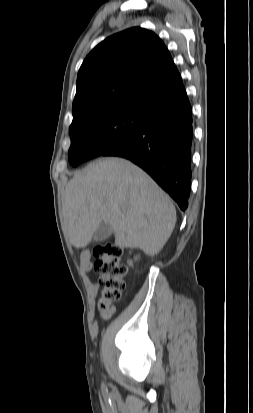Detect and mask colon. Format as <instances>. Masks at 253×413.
<instances>
[{
  "label": "colon",
  "instance_id": "5ec220e1",
  "mask_svg": "<svg viewBox=\"0 0 253 413\" xmlns=\"http://www.w3.org/2000/svg\"><path fill=\"white\" fill-rule=\"evenodd\" d=\"M94 255L97 258L95 270L99 274V283L102 286L99 309L106 312L109 306L122 296L127 268L121 262L122 249L117 245H100L94 249Z\"/></svg>",
  "mask_w": 253,
  "mask_h": 413
}]
</instances>
